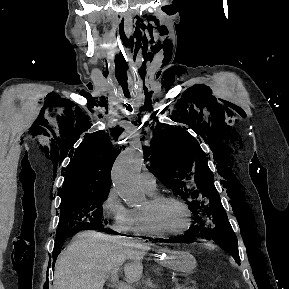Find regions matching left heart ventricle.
I'll list each match as a JSON object with an SVG mask.
<instances>
[{
    "label": "left heart ventricle",
    "mask_w": 289,
    "mask_h": 289,
    "mask_svg": "<svg viewBox=\"0 0 289 289\" xmlns=\"http://www.w3.org/2000/svg\"><path fill=\"white\" fill-rule=\"evenodd\" d=\"M147 201L141 207V210L147 209ZM153 217L157 226L169 232H176L183 229L187 222L188 217L186 211L176 202L166 201L155 208Z\"/></svg>",
    "instance_id": "b2bd125f"
}]
</instances>
